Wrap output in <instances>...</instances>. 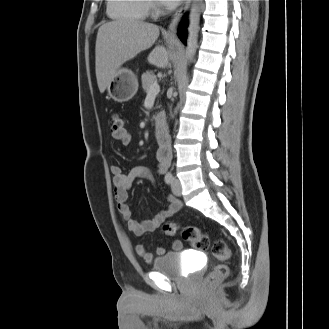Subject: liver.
I'll return each instance as SVG.
<instances>
[{
    "label": "liver",
    "mask_w": 329,
    "mask_h": 329,
    "mask_svg": "<svg viewBox=\"0 0 329 329\" xmlns=\"http://www.w3.org/2000/svg\"><path fill=\"white\" fill-rule=\"evenodd\" d=\"M159 37V27L138 20L120 19L103 24L98 29L95 46V70L99 91L104 93L118 69L139 53L149 49ZM179 46L178 41H174ZM150 64L165 69L170 54L157 45L147 58Z\"/></svg>",
    "instance_id": "obj_1"
}]
</instances>
